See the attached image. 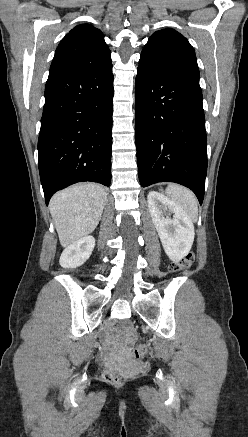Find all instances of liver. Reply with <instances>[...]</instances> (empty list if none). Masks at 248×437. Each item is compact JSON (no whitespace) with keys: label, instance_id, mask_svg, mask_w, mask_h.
Returning a JSON list of instances; mask_svg holds the SVG:
<instances>
[{"label":"liver","instance_id":"obj_1","mask_svg":"<svg viewBox=\"0 0 248 437\" xmlns=\"http://www.w3.org/2000/svg\"><path fill=\"white\" fill-rule=\"evenodd\" d=\"M106 200L105 188L94 183L77 184L52 197L49 207L61 246L68 247L95 230Z\"/></svg>","mask_w":248,"mask_h":437}]
</instances>
